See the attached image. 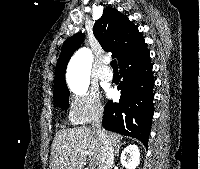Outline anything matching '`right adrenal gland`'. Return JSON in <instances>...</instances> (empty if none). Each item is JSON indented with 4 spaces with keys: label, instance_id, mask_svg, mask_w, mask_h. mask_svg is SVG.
Here are the masks:
<instances>
[{
    "label": "right adrenal gland",
    "instance_id": "obj_1",
    "mask_svg": "<svg viewBox=\"0 0 200 169\" xmlns=\"http://www.w3.org/2000/svg\"><path fill=\"white\" fill-rule=\"evenodd\" d=\"M125 144H126V142L121 143V144H119V145L117 146V148H116V150H115V156H116V157L119 156V150H120L121 146H122V145H125Z\"/></svg>",
    "mask_w": 200,
    "mask_h": 169
}]
</instances>
